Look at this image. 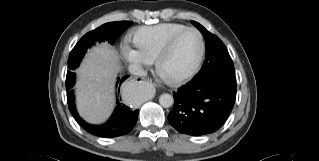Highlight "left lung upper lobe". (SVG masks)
Here are the masks:
<instances>
[{
  "mask_svg": "<svg viewBox=\"0 0 319 161\" xmlns=\"http://www.w3.org/2000/svg\"><path fill=\"white\" fill-rule=\"evenodd\" d=\"M206 41V58L195 79L221 78L236 83L233 61L224 43L201 24L192 21Z\"/></svg>",
  "mask_w": 319,
  "mask_h": 161,
  "instance_id": "obj_1",
  "label": "left lung upper lobe"
}]
</instances>
